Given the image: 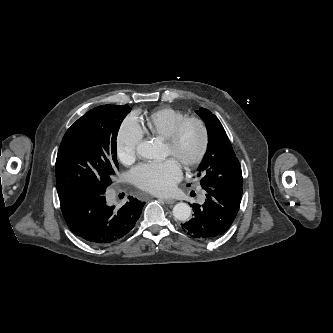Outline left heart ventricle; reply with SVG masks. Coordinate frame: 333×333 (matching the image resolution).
I'll return each instance as SVG.
<instances>
[{
    "label": "left heart ventricle",
    "mask_w": 333,
    "mask_h": 333,
    "mask_svg": "<svg viewBox=\"0 0 333 333\" xmlns=\"http://www.w3.org/2000/svg\"><path fill=\"white\" fill-rule=\"evenodd\" d=\"M200 131L195 125H189L184 130L176 154L167 146V154L175 157L179 162L192 159L200 147Z\"/></svg>",
    "instance_id": "obj_1"
}]
</instances>
